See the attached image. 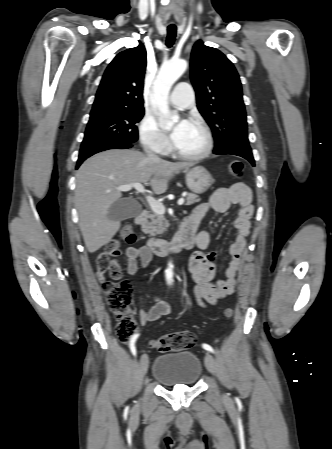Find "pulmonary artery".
<instances>
[{
	"label": "pulmonary artery",
	"instance_id": "pulmonary-artery-1",
	"mask_svg": "<svg viewBox=\"0 0 332 449\" xmlns=\"http://www.w3.org/2000/svg\"><path fill=\"white\" fill-rule=\"evenodd\" d=\"M194 96V90L189 83L179 82L169 96V102L179 109H185L194 103Z\"/></svg>",
	"mask_w": 332,
	"mask_h": 449
}]
</instances>
